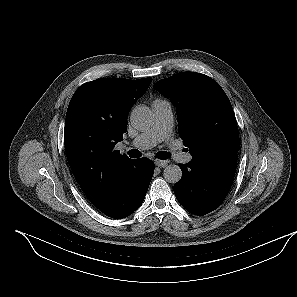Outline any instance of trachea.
Listing matches in <instances>:
<instances>
[{
  "label": "trachea",
  "instance_id": "3493384b",
  "mask_svg": "<svg viewBox=\"0 0 297 297\" xmlns=\"http://www.w3.org/2000/svg\"><path fill=\"white\" fill-rule=\"evenodd\" d=\"M130 158H139L142 156V153L137 149H131L129 152ZM156 157L161 160L168 159L170 157V153L166 151H161L156 154Z\"/></svg>",
  "mask_w": 297,
  "mask_h": 297
}]
</instances>
